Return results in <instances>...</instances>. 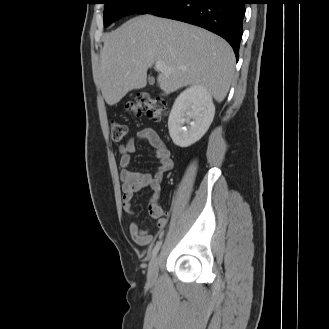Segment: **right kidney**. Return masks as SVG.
I'll return each mask as SVG.
<instances>
[{
    "label": "right kidney",
    "mask_w": 329,
    "mask_h": 329,
    "mask_svg": "<svg viewBox=\"0 0 329 329\" xmlns=\"http://www.w3.org/2000/svg\"><path fill=\"white\" fill-rule=\"evenodd\" d=\"M214 114L212 96L206 88L194 85L184 90L176 98L168 119L174 144L189 147L197 142L207 132Z\"/></svg>",
    "instance_id": "right-kidney-1"
}]
</instances>
